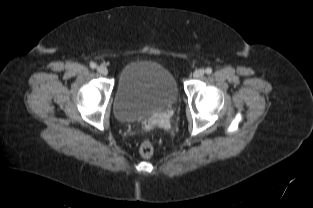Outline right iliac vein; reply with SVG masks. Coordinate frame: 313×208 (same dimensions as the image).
I'll return each instance as SVG.
<instances>
[{"label": "right iliac vein", "instance_id": "63e3f726", "mask_svg": "<svg viewBox=\"0 0 313 208\" xmlns=\"http://www.w3.org/2000/svg\"><path fill=\"white\" fill-rule=\"evenodd\" d=\"M97 71L101 75H107L108 74V69L105 66H102V65L97 67Z\"/></svg>", "mask_w": 313, "mask_h": 208}]
</instances>
